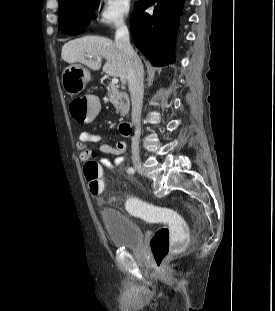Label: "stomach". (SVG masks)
Here are the masks:
<instances>
[{
  "label": "stomach",
  "instance_id": "0dacf381",
  "mask_svg": "<svg viewBox=\"0 0 275 311\" xmlns=\"http://www.w3.org/2000/svg\"><path fill=\"white\" fill-rule=\"evenodd\" d=\"M91 80L90 72L80 64L67 66L61 75V83L64 91L69 95L81 93Z\"/></svg>",
  "mask_w": 275,
  "mask_h": 311
}]
</instances>
